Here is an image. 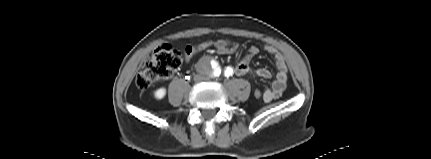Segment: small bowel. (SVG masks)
<instances>
[{
  "label": "small bowel",
  "instance_id": "small-bowel-1",
  "mask_svg": "<svg viewBox=\"0 0 431 159\" xmlns=\"http://www.w3.org/2000/svg\"><path fill=\"white\" fill-rule=\"evenodd\" d=\"M209 47H213L214 50H216V48L233 49V51L235 52L238 49V44L230 40L220 39L216 41H205L196 46H188L185 50L186 62H189L194 55L208 49ZM264 50L273 56L277 68V74L274 81L272 82L271 87L262 91L263 97L261 99L264 102L268 103L280 97L281 94L284 92L288 80V68L283 56L278 52L275 47H273L272 45H265ZM258 52L259 49L257 47L253 46L249 48L245 56L238 61L235 67H229L232 73H235L238 76H246L253 74L257 77L265 79L271 78V73L269 70L265 68L253 69L250 66L251 59Z\"/></svg>",
  "mask_w": 431,
  "mask_h": 159
}]
</instances>
